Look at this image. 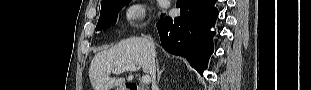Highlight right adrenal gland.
Masks as SVG:
<instances>
[{"label":"right adrenal gland","instance_id":"right-adrenal-gland-1","mask_svg":"<svg viewBox=\"0 0 311 90\" xmlns=\"http://www.w3.org/2000/svg\"><path fill=\"white\" fill-rule=\"evenodd\" d=\"M163 71H164V69L159 70V64H158V62H157V72H158L157 82L160 81V77H161V74H162Z\"/></svg>","mask_w":311,"mask_h":90}]
</instances>
